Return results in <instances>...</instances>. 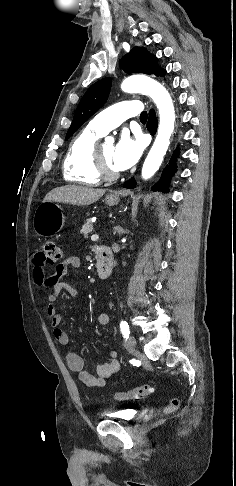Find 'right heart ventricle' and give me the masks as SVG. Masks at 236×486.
<instances>
[{"mask_svg":"<svg viewBox=\"0 0 236 486\" xmlns=\"http://www.w3.org/2000/svg\"><path fill=\"white\" fill-rule=\"evenodd\" d=\"M100 137V134L87 127L72 139L62 166L66 181L87 186L101 182L93 166V149Z\"/></svg>","mask_w":236,"mask_h":486,"instance_id":"1","label":"right heart ventricle"}]
</instances>
